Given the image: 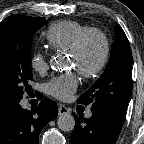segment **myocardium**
Here are the masks:
<instances>
[{
    "label": "myocardium",
    "mask_w": 144,
    "mask_h": 144,
    "mask_svg": "<svg viewBox=\"0 0 144 144\" xmlns=\"http://www.w3.org/2000/svg\"><path fill=\"white\" fill-rule=\"evenodd\" d=\"M92 37H97L101 41L102 55L99 61L89 69L83 68L81 65H77L75 69L81 76L86 79H92L99 76L104 70L110 58L111 48L109 39L103 31L96 28H90L89 30L80 35V37L77 39L74 46L70 50L71 56L75 57L76 59H80L84 53L86 43Z\"/></svg>",
    "instance_id": "myocardium-1"
}]
</instances>
